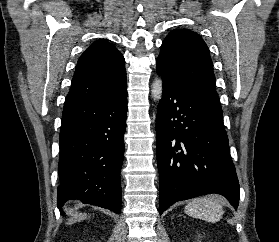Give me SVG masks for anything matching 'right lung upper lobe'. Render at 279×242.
Listing matches in <instances>:
<instances>
[{"label":"right lung upper lobe","instance_id":"cb5924a9","mask_svg":"<svg viewBox=\"0 0 279 242\" xmlns=\"http://www.w3.org/2000/svg\"><path fill=\"white\" fill-rule=\"evenodd\" d=\"M125 87L124 57L112 44L100 40L79 58L64 106L109 97Z\"/></svg>","mask_w":279,"mask_h":242}]
</instances>
